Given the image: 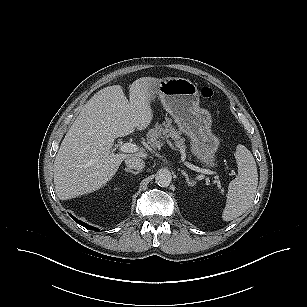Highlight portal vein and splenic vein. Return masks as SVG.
I'll list each match as a JSON object with an SVG mask.
<instances>
[{"label":"portal vein and splenic vein","mask_w":307,"mask_h":307,"mask_svg":"<svg viewBox=\"0 0 307 307\" xmlns=\"http://www.w3.org/2000/svg\"><path fill=\"white\" fill-rule=\"evenodd\" d=\"M167 143L172 149H174V146L172 145V143L169 140H167ZM119 149H120L121 152H125V153H134V152H138L140 150L139 146H137L136 144H133V143H129V142L122 144ZM182 161H184V157H182ZM184 164L188 168H190L194 171H197V172H201V173H204V174H213L214 173L211 170L199 168V167L192 165V164H190L189 162H186V161L184 162Z\"/></svg>","instance_id":"18ae733b"}]
</instances>
